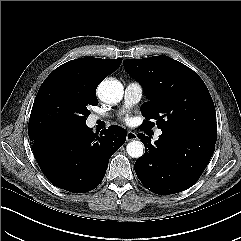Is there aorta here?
I'll return each mask as SVG.
<instances>
[{
	"instance_id": "obj_1",
	"label": "aorta",
	"mask_w": 241,
	"mask_h": 241,
	"mask_svg": "<svg viewBox=\"0 0 241 241\" xmlns=\"http://www.w3.org/2000/svg\"><path fill=\"white\" fill-rule=\"evenodd\" d=\"M98 95L103 102L118 103L123 97V86L117 80H104L98 86ZM126 151L132 158H139L144 153V145L133 140L127 144Z\"/></svg>"
}]
</instances>
